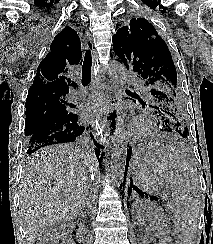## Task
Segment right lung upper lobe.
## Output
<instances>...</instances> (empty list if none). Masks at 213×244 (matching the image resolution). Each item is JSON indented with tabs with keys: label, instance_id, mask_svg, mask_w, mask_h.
Segmentation results:
<instances>
[{
	"label": "right lung upper lobe",
	"instance_id": "obj_1",
	"mask_svg": "<svg viewBox=\"0 0 213 244\" xmlns=\"http://www.w3.org/2000/svg\"><path fill=\"white\" fill-rule=\"evenodd\" d=\"M81 58V42L77 32L65 27L55 36L50 52L39 64L27 97L44 94L66 96L70 87H77L68 76L74 66L81 64Z\"/></svg>",
	"mask_w": 213,
	"mask_h": 244
}]
</instances>
